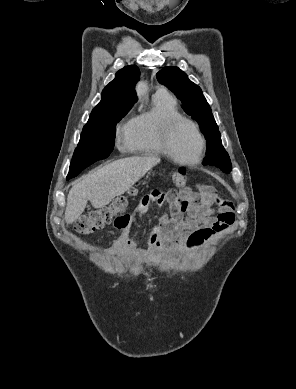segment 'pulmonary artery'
Returning <instances> with one entry per match:
<instances>
[{
  "mask_svg": "<svg viewBox=\"0 0 296 389\" xmlns=\"http://www.w3.org/2000/svg\"><path fill=\"white\" fill-rule=\"evenodd\" d=\"M157 92H166L165 88L164 87H159Z\"/></svg>",
  "mask_w": 296,
  "mask_h": 389,
  "instance_id": "obj_1",
  "label": "pulmonary artery"
}]
</instances>
